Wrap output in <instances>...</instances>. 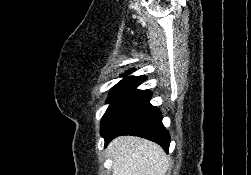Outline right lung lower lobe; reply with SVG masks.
Here are the masks:
<instances>
[{
    "mask_svg": "<svg viewBox=\"0 0 251 175\" xmlns=\"http://www.w3.org/2000/svg\"><path fill=\"white\" fill-rule=\"evenodd\" d=\"M129 88L107 110L101 121L105 147L119 135H135L152 140L168 152L170 135L162 124V114L149 101V90Z\"/></svg>",
    "mask_w": 251,
    "mask_h": 175,
    "instance_id": "1",
    "label": "right lung lower lobe"
}]
</instances>
